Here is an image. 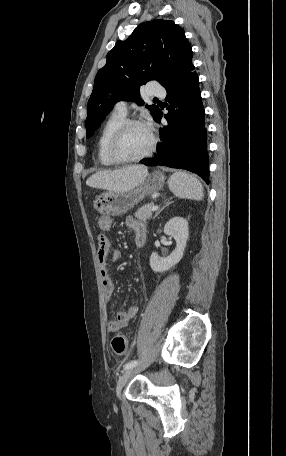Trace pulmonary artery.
<instances>
[{"instance_id": "1", "label": "pulmonary artery", "mask_w": 286, "mask_h": 456, "mask_svg": "<svg viewBox=\"0 0 286 456\" xmlns=\"http://www.w3.org/2000/svg\"><path fill=\"white\" fill-rule=\"evenodd\" d=\"M149 93L152 96L163 97V96L166 95V90L164 88H161V87L151 86L149 88ZM114 110L126 114L128 112V104H127V102L126 101H118L115 104V106H114Z\"/></svg>"}]
</instances>
